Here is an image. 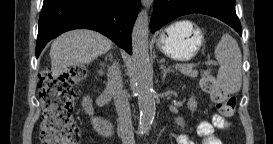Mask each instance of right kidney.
<instances>
[{
	"mask_svg": "<svg viewBox=\"0 0 273 144\" xmlns=\"http://www.w3.org/2000/svg\"><path fill=\"white\" fill-rule=\"evenodd\" d=\"M82 106L85 108V111L89 114H93L92 101L90 98L85 97Z\"/></svg>",
	"mask_w": 273,
	"mask_h": 144,
	"instance_id": "right-kidney-1",
	"label": "right kidney"
}]
</instances>
